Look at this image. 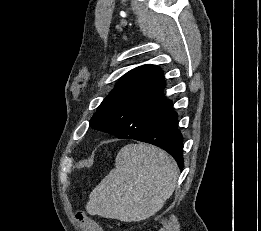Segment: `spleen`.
Here are the masks:
<instances>
[{
	"label": "spleen",
	"mask_w": 261,
	"mask_h": 231,
	"mask_svg": "<svg viewBox=\"0 0 261 231\" xmlns=\"http://www.w3.org/2000/svg\"><path fill=\"white\" fill-rule=\"evenodd\" d=\"M176 163L161 149L128 144L115 159V169L94 188L90 214L136 222L159 211L176 187Z\"/></svg>",
	"instance_id": "spleen-1"
}]
</instances>
